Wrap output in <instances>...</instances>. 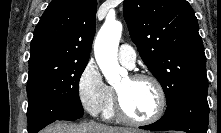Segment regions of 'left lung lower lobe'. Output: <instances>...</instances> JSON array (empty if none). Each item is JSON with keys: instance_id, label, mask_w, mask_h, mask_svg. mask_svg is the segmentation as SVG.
<instances>
[{"instance_id": "0a47b994", "label": "left lung lower lobe", "mask_w": 221, "mask_h": 133, "mask_svg": "<svg viewBox=\"0 0 221 133\" xmlns=\"http://www.w3.org/2000/svg\"><path fill=\"white\" fill-rule=\"evenodd\" d=\"M208 116L207 91H195L185 95L173 108L166 110L165 115L157 122L140 128L153 131L207 133Z\"/></svg>"}]
</instances>
